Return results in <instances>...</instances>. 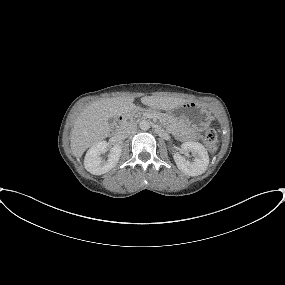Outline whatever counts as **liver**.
<instances>
[{
	"label": "liver",
	"mask_w": 285,
	"mask_h": 285,
	"mask_svg": "<svg viewBox=\"0 0 285 285\" xmlns=\"http://www.w3.org/2000/svg\"><path fill=\"white\" fill-rule=\"evenodd\" d=\"M133 96L104 98L87 106L77 117L70 136L72 154L80 158L83 153L94 144L109 135L110 118L128 114L135 109ZM144 105L158 110H173L187 99L165 96H144L141 98Z\"/></svg>",
	"instance_id": "6515ba94"
}]
</instances>
